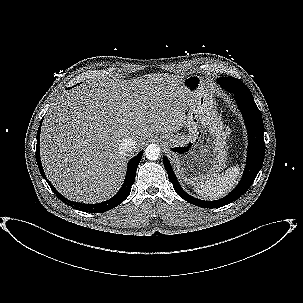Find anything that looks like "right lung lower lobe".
Segmentation results:
<instances>
[{
  "label": "right lung lower lobe",
  "instance_id": "1",
  "mask_svg": "<svg viewBox=\"0 0 303 303\" xmlns=\"http://www.w3.org/2000/svg\"><path fill=\"white\" fill-rule=\"evenodd\" d=\"M42 123V121H41ZM40 130H41V124L37 132V146H36V161L39 166L40 173L42 174L43 177H45L44 170L42 168L41 160H40V154H39V141H40ZM143 155V151H141L136 157L131 159L128 162V167H127V172H126V177L124 184L122 185L121 189L119 192L113 196L111 199L98 203V204H82V203H77L70 201L66 199L64 196H62L54 187L53 185L46 179L48 182L49 186L51 189L55 192L56 196L63 201L64 203L70 205L71 207H74L78 210L85 211V212H90V213H101L105 212L107 210H110L119 204H121L130 194L131 192V187L134 183L135 180V173L138 167V164L141 160V157Z\"/></svg>",
  "mask_w": 303,
  "mask_h": 303
}]
</instances>
